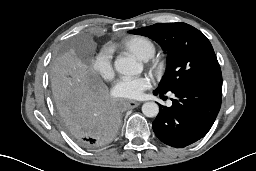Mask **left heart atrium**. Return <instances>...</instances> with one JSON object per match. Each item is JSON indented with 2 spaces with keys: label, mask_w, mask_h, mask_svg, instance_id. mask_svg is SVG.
Segmentation results:
<instances>
[{
  "label": "left heart atrium",
  "mask_w": 256,
  "mask_h": 171,
  "mask_svg": "<svg viewBox=\"0 0 256 171\" xmlns=\"http://www.w3.org/2000/svg\"><path fill=\"white\" fill-rule=\"evenodd\" d=\"M151 86L146 76L122 77L113 87V95L117 98L137 99Z\"/></svg>",
  "instance_id": "1"
}]
</instances>
